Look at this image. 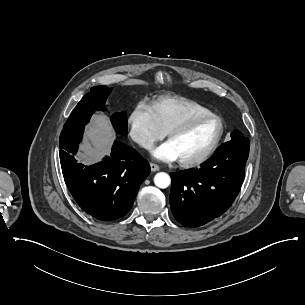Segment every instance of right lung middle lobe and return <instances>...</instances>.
<instances>
[{"label": "right lung middle lobe", "mask_w": 305, "mask_h": 305, "mask_svg": "<svg viewBox=\"0 0 305 305\" xmlns=\"http://www.w3.org/2000/svg\"><path fill=\"white\" fill-rule=\"evenodd\" d=\"M111 88L106 86H95L87 93L70 115L63 130L84 127L95 111H105V103ZM116 132L125 135L127 133V115L124 111L114 113L111 117Z\"/></svg>", "instance_id": "dd1d6c3e"}]
</instances>
